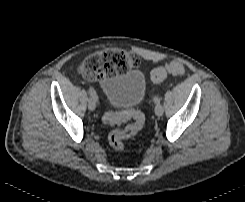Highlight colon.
Segmentation results:
<instances>
[{
	"label": "colon",
	"instance_id": "colon-1",
	"mask_svg": "<svg viewBox=\"0 0 245 202\" xmlns=\"http://www.w3.org/2000/svg\"><path fill=\"white\" fill-rule=\"evenodd\" d=\"M134 59L123 49H107L96 51L87 56L80 64L81 74L90 80H97L103 77H113L126 73L133 65ZM184 66L180 61L173 60L164 66L154 70L153 76L156 80L162 81L168 74L181 75ZM126 119L131 123L121 129H116L108 135V143L116 151H123L126 147V140L136 135L144 126L145 118L141 111L130 110L124 115L113 112H105L102 116L103 122L114 125Z\"/></svg>",
	"mask_w": 245,
	"mask_h": 202
}]
</instances>
